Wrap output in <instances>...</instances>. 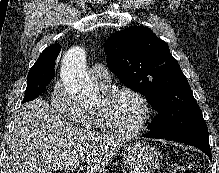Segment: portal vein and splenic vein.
I'll list each match as a JSON object with an SVG mask.
<instances>
[{"label":"portal vein and splenic vein","instance_id":"obj_1","mask_svg":"<svg viewBox=\"0 0 219 173\" xmlns=\"http://www.w3.org/2000/svg\"><path fill=\"white\" fill-rule=\"evenodd\" d=\"M74 168H77V166H76V165L72 166V167H71V170H73Z\"/></svg>","mask_w":219,"mask_h":173}]
</instances>
